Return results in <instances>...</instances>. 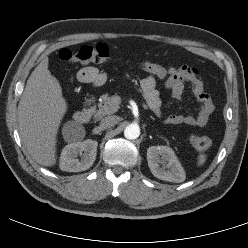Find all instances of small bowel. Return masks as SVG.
Listing matches in <instances>:
<instances>
[{
    "label": "small bowel",
    "instance_id": "small-bowel-1",
    "mask_svg": "<svg viewBox=\"0 0 248 248\" xmlns=\"http://www.w3.org/2000/svg\"><path fill=\"white\" fill-rule=\"evenodd\" d=\"M168 77L165 80V87L170 91L176 100L183 98L185 85L191 86L193 95L199 104V111L196 116L172 114L164 119L166 124H185L191 127L203 128L207 125L211 114L214 112V104L209 94L205 92L204 83L196 68L181 66L168 68ZM80 82L95 87L102 86L106 82V75L96 67L87 66L77 73ZM141 89L150 110L157 116L162 115V101L156 89L155 77L149 75L141 80Z\"/></svg>",
    "mask_w": 248,
    "mask_h": 248
}]
</instances>
